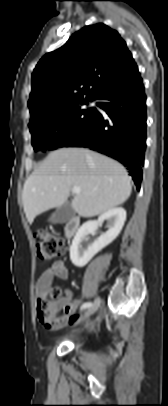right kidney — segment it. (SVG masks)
<instances>
[{
	"label": "right kidney",
	"instance_id": "obj_1",
	"mask_svg": "<svg viewBox=\"0 0 168 406\" xmlns=\"http://www.w3.org/2000/svg\"><path fill=\"white\" fill-rule=\"evenodd\" d=\"M108 222V230L92 244H83L86 236L101 226L104 221ZM126 220V211L121 208H113L96 221L84 223L77 231L70 247V259L77 267H84L99 251L114 241L120 234Z\"/></svg>",
	"mask_w": 168,
	"mask_h": 406
}]
</instances>
